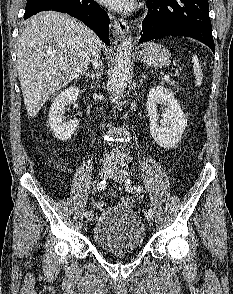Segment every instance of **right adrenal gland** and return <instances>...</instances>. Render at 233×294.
<instances>
[{
	"mask_svg": "<svg viewBox=\"0 0 233 294\" xmlns=\"http://www.w3.org/2000/svg\"><path fill=\"white\" fill-rule=\"evenodd\" d=\"M102 68L100 69V71H97V72H87L86 73V77H89L90 79H92V80H95V79H97L98 77H100L101 76V74H102Z\"/></svg>",
	"mask_w": 233,
	"mask_h": 294,
	"instance_id": "2a0ac1e0",
	"label": "right adrenal gland"
}]
</instances>
